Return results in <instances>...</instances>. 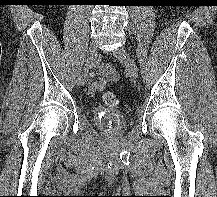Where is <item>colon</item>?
<instances>
[{"label":"colon","instance_id":"5ec220e1","mask_svg":"<svg viewBox=\"0 0 217 197\" xmlns=\"http://www.w3.org/2000/svg\"><path fill=\"white\" fill-rule=\"evenodd\" d=\"M103 101L108 107H115L119 104L118 97L111 92H106L103 94Z\"/></svg>","mask_w":217,"mask_h":197}]
</instances>
